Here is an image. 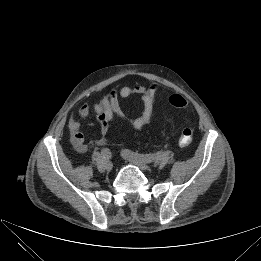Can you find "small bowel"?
I'll use <instances>...</instances> for the list:
<instances>
[{
	"label": "small bowel",
	"instance_id": "small-bowel-1",
	"mask_svg": "<svg viewBox=\"0 0 261 261\" xmlns=\"http://www.w3.org/2000/svg\"><path fill=\"white\" fill-rule=\"evenodd\" d=\"M157 92L158 86L154 83L149 86L135 83L133 85L122 86L119 89H112L99 102L82 104L78 111V117L72 116L68 121L71 140L76 150L81 153L87 150L85 138L80 127L81 121L87 119L91 111L96 113L100 125V137L96 140V143L101 145L105 142L109 125L115 118L128 122L132 129L136 131L150 124L155 117ZM132 95H137L144 107L141 116L135 120H129L127 118L120 103L121 99H127Z\"/></svg>",
	"mask_w": 261,
	"mask_h": 261
}]
</instances>
